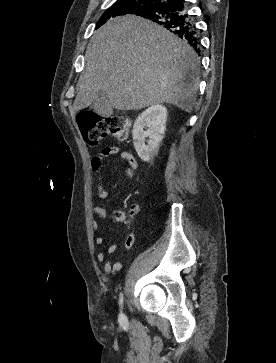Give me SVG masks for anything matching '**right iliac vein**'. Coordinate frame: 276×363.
<instances>
[{"instance_id":"obj_1","label":"right iliac vein","mask_w":276,"mask_h":363,"mask_svg":"<svg viewBox=\"0 0 276 363\" xmlns=\"http://www.w3.org/2000/svg\"><path fill=\"white\" fill-rule=\"evenodd\" d=\"M119 317H120V319H123L125 317V315L121 312Z\"/></svg>"}]
</instances>
